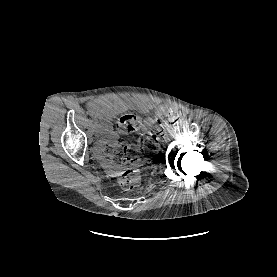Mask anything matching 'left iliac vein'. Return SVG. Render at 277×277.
I'll list each match as a JSON object with an SVG mask.
<instances>
[{"instance_id":"1","label":"left iliac vein","mask_w":277,"mask_h":277,"mask_svg":"<svg viewBox=\"0 0 277 277\" xmlns=\"http://www.w3.org/2000/svg\"><path fill=\"white\" fill-rule=\"evenodd\" d=\"M175 135H176V132H175L174 130H171V131L169 132V135H168L167 139L174 138Z\"/></svg>"}]
</instances>
